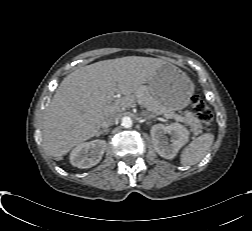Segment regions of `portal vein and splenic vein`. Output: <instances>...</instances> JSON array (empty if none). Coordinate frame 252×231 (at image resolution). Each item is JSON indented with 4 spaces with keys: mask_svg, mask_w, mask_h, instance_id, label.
I'll use <instances>...</instances> for the list:
<instances>
[{
    "mask_svg": "<svg viewBox=\"0 0 252 231\" xmlns=\"http://www.w3.org/2000/svg\"><path fill=\"white\" fill-rule=\"evenodd\" d=\"M108 99H112V98H115L116 95H115V89H111L109 92H108ZM125 105H130L132 104L131 100L129 98L125 99ZM166 118H172V119H175L176 121H180L182 122V117L180 115H166L165 116Z\"/></svg>",
    "mask_w": 252,
    "mask_h": 231,
    "instance_id": "portal-vein-and-splenic-vein-1",
    "label": "portal vein and splenic vein"
}]
</instances>
